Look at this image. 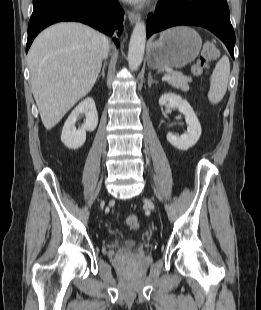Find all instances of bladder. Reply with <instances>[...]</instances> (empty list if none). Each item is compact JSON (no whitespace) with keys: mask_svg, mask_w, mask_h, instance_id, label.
<instances>
[{"mask_svg":"<svg viewBox=\"0 0 261 310\" xmlns=\"http://www.w3.org/2000/svg\"><path fill=\"white\" fill-rule=\"evenodd\" d=\"M137 241L135 239H127L124 241V244L128 247H134L137 245Z\"/></svg>","mask_w":261,"mask_h":310,"instance_id":"obj_1","label":"bladder"}]
</instances>
